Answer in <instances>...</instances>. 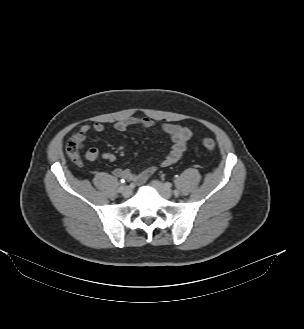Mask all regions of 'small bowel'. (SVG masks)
I'll return each instance as SVG.
<instances>
[{
  "mask_svg": "<svg viewBox=\"0 0 304 329\" xmlns=\"http://www.w3.org/2000/svg\"><path fill=\"white\" fill-rule=\"evenodd\" d=\"M134 125H140L142 127L149 128L153 126V122L146 117H128L116 122L113 125V128L116 131L124 132ZM91 129L100 133L104 131V125L101 123H94L92 126L87 124L82 125L75 134L81 144L84 142ZM161 129L167 136L170 137L172 141V147L169 153L162 160L163 166H169L181 158L186 150L187 142L192 136V132L186 127H182L173 123H164L162 124ZM85 157L90 162H94L99 158H103L108 161L115 160L114 154L100 153V151L94 147L89 148L86 151ZM155 171L156 167L154 165H149L139 172H132L129 169L118 168L114 170V174L118 178L141 184L145 182Z\"/></svg>",
  "mask_w": 304,
  "mask_h": 329,
  "instance_id": "obj_1",
  "label": "small bowel"
}]
</instances>
